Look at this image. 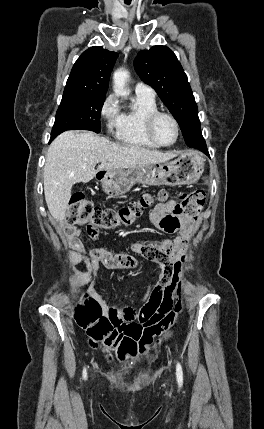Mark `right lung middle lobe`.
I'll return each mask as SVG.
<instances>
[{
	"label": "right lung middle lobe",
	"mask_w": 264,
	"mask_h": 429,
	"mask_svg": "<svg viewBox=\"0 0 264 429\" xmlns=\"http://www.w3.org/2000/svg\"><path fill=\"white\" fill-rule=\"evenodd\" d=\"M105 96L63 94L51 132L52 141L65 130L85 129L100 132V112Z\"/></svg>",
	"instance_id": "right-lung-middle-lobe-1"
}]
</instances>
